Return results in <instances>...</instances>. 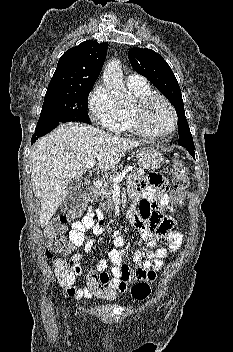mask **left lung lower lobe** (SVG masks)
Returning <instances> with one entry per match:
<instances>
[{"mask_svg": "<svg viewBox=\"0 0 233 352\" xmlns=\"http://www.w3.org/2000/svg\"><path fill=\"white\" fill-rule=\"evenodd\" d=\"M187 150H188V152L191 154V156H192L193 158H195L194 149H187Z\"/></svg>", "mask_w": 233, "mask_h": 352, "instance_id": "0a47b994", "label": "left lung lower lobe"}]
</instances>
